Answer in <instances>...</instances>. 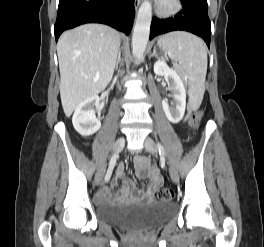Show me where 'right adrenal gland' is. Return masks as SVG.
<instances>
[{
    "instance_id": "2a0ac1e0",
    "label": "right adrenal gland",
    "mask_w": 264,
    "mask_h": 247,
    "mask_svg": "<svg viewBox=\"0 0 264 247\" xmlns=\"http://www.w3.org/2000/svg\"><path fill=\"white\" fill-rule=\"evenodd\" d=\"M120 60H121V51L119 50L118 58H117V61H116V64H115V69L118 68V64H119Z\"/></svg>"
}]
</instances>
